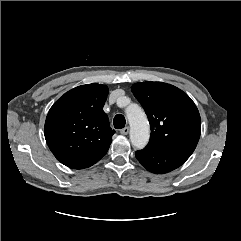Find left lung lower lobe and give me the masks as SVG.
I'll list each match as a JSON object with an SVG mask.
<instances>
[{
	"mask_svg": "<svg viewBox=\"0 0 241 241\" xmlns=\"http://www.w3.org/2000/svg\"><path fill=\"white\" fill-rule=\"evenodd\" d=\"M192 154L183 149L160 148L147 145L136 152L138 161L150 172L163 174L180 167Z\"/></svg>",
	"mask_w": 241,
	"mask_h": 241,
	"instance_id": "0a47b994",
	"label": "left lung lower lobe"
}]
</instances>
